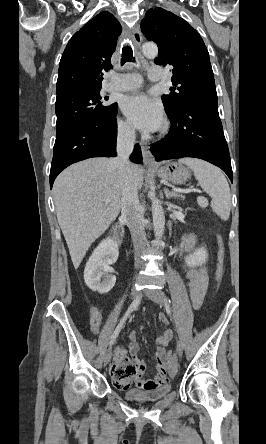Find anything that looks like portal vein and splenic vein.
Masks as SVG:
<instances>
[{
    "label": "portal vein and splenic vein",
    "instance_id": "portal-vein-and-splenic-vein-1",
    "mask_svg": "<svg viewBox=\"0 0 266 444\" xmlns=\"http://www.w3.org/2000/svg\"><path fill=\"white\" fill-rule=\"evenodd\" d=\"M174 191H178V192H183V193H190L192 191H194V189H173ZM110 202L109 199L106 200V203Z\"/></svg>",
    "mask_w": 266,
    "mask_h": 444
}]
</instances>
